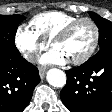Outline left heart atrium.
Returning a JSON list of instances; mask_svg holds the SVG:
<instances>
[{"label": "left heart atrium", "mask_w": 112, "mask_h": 112, "mask_svg": "<svg viewBox=\"0 0 112 112\" xmlns=\"http://www.w3.org/2000/svg\"><path fill=\"white\" fill-rule=\"evenodd\" d=\"M67 61V58L60 51L55 49L46 53L40 59L42 64H65Z\"/></svg>", "instance_id": "obj_1"}]
</instances>
